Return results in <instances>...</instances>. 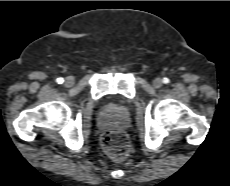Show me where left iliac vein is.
Returning a JSON list of instances; mask_svg holds the SVG:
<instances>
[{
	"instance_id": "left-iliac-vein-1",
	"label": "left iliac vein",
	"mask_w": 230,
	"mask_h": 186,
	"mask_svg": "<svg viewBox=\"0 0 230 186\" xmlns=\"http://www.w3.org/2000/svg\"><path fill=\"white\" fill-rule=\"evenodd\" d=\"M163 85V80L161 78H155L153 81V86L155 88H160Z\"/></svg>"
}]
</instances>
